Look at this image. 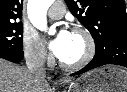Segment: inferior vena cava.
<instances>
[{
  "instance_id": "602c4592",
  "label": "inferior vena cava",
  "mask_w": 127,
  "mask_h": 92,
  "mask_svg": "<svg viewBox=\"0 0 127 92\" xmlns=\"http://www.w3.org/2000/svg\"><path fill=\"white\" fill-rule=\"evenodd\" d=\"M28 70L39 80L46 81L45 53L32 51L26 58Z\"/></svg>"
}]
</instances>
